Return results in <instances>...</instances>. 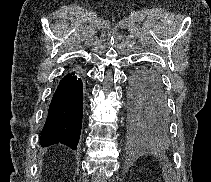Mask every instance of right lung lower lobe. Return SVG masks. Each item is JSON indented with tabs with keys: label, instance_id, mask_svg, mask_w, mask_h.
<instances>
[{
	"label": "right lung lower lobe",
	"instance_id": "1",
	"mask_svg": "<svg viewBox=\"0 0 211 182\" xmlns=\"http://www.w3.org/2000/svg\"><path fill=\"white\" fill-rule=\"evenodd\" d=\"M82 115V81L74 73L68 74L60 81L53 95L41 134V146L60 142L75 150L80 138Z\"/></svg>",
	"mask_w": 211,
	"mask_h": 182
}]
</instances>
